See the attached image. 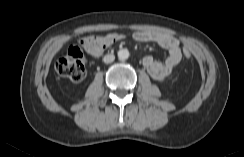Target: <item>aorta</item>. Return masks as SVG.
Segmentation results:
<instances>
[{"label":"aorta","instance_id":"1","mask_svg":"<svg viewBox=\"0 0 244 157\" xmlns=\"http://www.w3.org/2000/svg\"><path fill=\"white\" fill-rule=\"evenodd\" d=\"M117 55L120 60H126L129 58V51L127 49H120Z\"/></svg>","mask_w":244,"mask_h":157}]
</instances>
